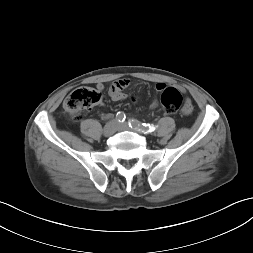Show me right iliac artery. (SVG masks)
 I'll list each match as a JSON object with an SVG mask.
<instances>
[{
	"label": "right iliac artery",
	"instance_id": "1",
	"mask_svg": "<svg viewBox=\"0 0 253 253\" xmlns=\"http://www.w3.org/2000/svg\"><path fill=\"white\" fill-rule=\"evenodd\" d=\"M116 119L119 121V122H124L125 119H126V116L124 114V112H118L116 114Z\"/></svg>",
	"mask_w": 253,
	"mask_h": 253
}]
</instances>
